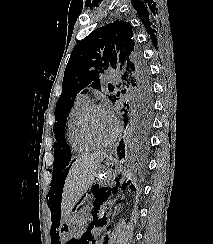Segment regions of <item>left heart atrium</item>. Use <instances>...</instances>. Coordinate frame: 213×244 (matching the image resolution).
<instances>
[{
	"label": "left heart atrium",
	"instance_id": "left-heart-atrium-1",
	"mask_svg": "<svg viewBox=\"0 0 213 244\" xmlns=\"http://www.w3.org/2000/svg\"><path fill=\"white\" fill-rule=\"evenodd\" d=\"M108 117L110 118L111 121L115 122V116L112 111H106Z\"/></svg>",
	"mask_w": 213,
	"mask_h": 244
}]
</instances>
